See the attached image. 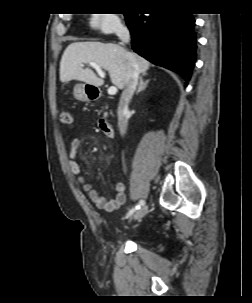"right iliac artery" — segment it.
<instances>
[{"mask_svg": "<svg viewBox=\"0 0 252 303\" xmlns=\"http://www.w3.org/2000/svg\"><path fill=\"white\" fill-rule=\"evenodd\" d=\"M143 205H144V201H143V200H140V201L136 204L135 208L131 209V210L128 212L126 218L129 217L130 215H132L136 210L140 209Z\"/></svg>", "mask_w": 252, "mask_h": 303, "instance_id": "1", "label": "right iliac artery"}]
</instances>
